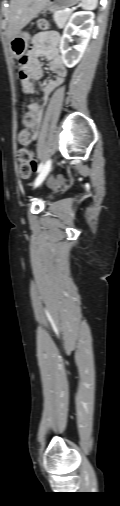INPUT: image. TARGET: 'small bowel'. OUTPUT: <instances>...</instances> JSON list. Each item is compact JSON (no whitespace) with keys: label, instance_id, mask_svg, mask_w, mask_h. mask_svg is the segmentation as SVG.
Wrapping results in <instances>:
<instances>
[{"label":"small bowel","instance_id":"small-bowel-1","mask_svg":"<svg viewBox=\"0 0 120 506\" xmlns=\"http://www.w3.org/2000/svg\"><path fill=\"white\" fill-rule=\"evenodd\" d=\"M58 44L59 37L56 34H39L33 39L31 48L26 57L27 71L25 77L21 78L22 86L26 93H35L37 90L36 83L44 75V69L39 61L40 57H45L49 61V69L55 75L53 79L45 82L40 89L43 105H29V110L33 113L35 118L32 125L33 139H36L39 134L44 104L47 103L51 93L62 84L67 75L66 67L59 54Z\"/></svg>","mask_w":120,"mask_h":506}]
</instances>
